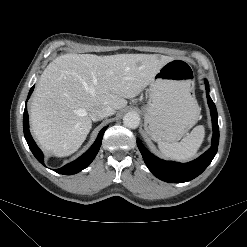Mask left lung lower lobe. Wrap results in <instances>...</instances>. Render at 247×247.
I'll use <instances>...</instances> for the list:
<instances>
[{
    "label": "left lung lower lobe",
    "instance_id": "left-lung-lower-lobe-1",
    "mask_svg": "<svg viewBox=\"0 0 247 247\" xmlns=\"http://www.w3.org/2000/svg\"><path fill=\"white\" fill-rule=\"evenodd\" d=\"M207 90V100L210 108L212 123H213V137L212 146L199 158L189 163H178L173 161H164L151 154L141 143L137 140V146L142 154V157L148 167V169L160 180L166 182L183 183L190 181L200 175L207 166L211 163L214 156L217 153L219 144V127H218V115L215 104L208 95L209 84L205 81Z\"/></svg>",
    "mask_w": 247,
    "mask_h": 247
}]
</instances>
